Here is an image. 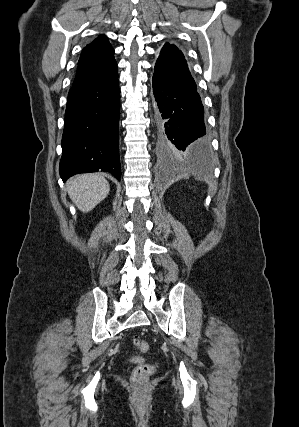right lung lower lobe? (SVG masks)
I'll return each instance as SVG.
<instances>
[{
  "label": "right lung lower lobe",
  "instance_id": "1",
  "mask_svg": "<svg viewBox=\"0 0 299 427\" xmlns=\"http://www.w3.org/2000/svg\"><path fill=\"white\" fill-rule=\"evenodd\" d=\"M120 93L118 73L94 82L73 85L65 111L60 176L106 171L118 180Z\"/></svg>",
  "mask_w": 299,
  "mask_h": 427
}]
</instances>
